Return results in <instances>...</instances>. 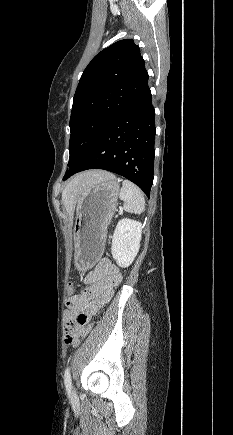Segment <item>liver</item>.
Segmentation results:
<instances>
[{"label":"liver","instance_id":"1","mask_svg":"<svg viewBox=\"0 0 233 435\" xmlns=\"http://www.w3.org/2000/svg\"><path fill=\"white\" fill-rule=\"evenodd\" d=\"M109 173L102 170H91L77 174L69 180L62 192V202L67 213L72 216L81 194L89 187L99 183Z\"/></svg>","mask_w":233,"mask_h":435}]
</instances>
